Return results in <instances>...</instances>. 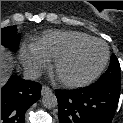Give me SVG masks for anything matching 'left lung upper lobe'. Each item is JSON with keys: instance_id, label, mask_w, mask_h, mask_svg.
I'll list each match as a JSON object with an SVG mask.
<instances>
[{"instance_id": "1", "label": "left lung upper lobe", "mask_w": 123, "mask_h": 123, "mask_svg": "<svg viewBox=\"0 0 123 123\" xmlns=\"http://www.w3.org/2000/svg\"><path fill=\"white\" fill-rule=\"evenodd\" d=\"M98 81L120 84V64L115 55L111 56L108 70L98 79Z\"/></svg>"}]
</instances>
